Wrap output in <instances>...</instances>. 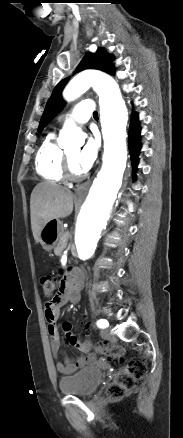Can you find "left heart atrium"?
<instances>
[{
  "instance_id": "39dd6f15",
  "label": "left heart atrium",
  "mask_w": 183,
  "mask_h": 438,
  "mask_svg": "<svg viewBox=\"0 0 183 438\" xmlns=\"http://www.w3.org/2000/svg\"><path fill=\"white\" fill-rule=\"evenodd\" d=\"M98 150V139L94 136L89 137L76 159V164L82 172H86L92 167L97 158Z\"/></svg>"
}]
</instances>
